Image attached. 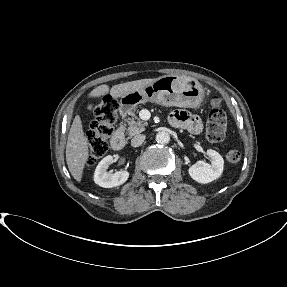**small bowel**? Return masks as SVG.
<instances>
[{"label":"small bowel","mask_w":287,"mask_h":287,"mask_svg":"<svg viewBox=\"0 0 287 287\" xmlns=\"http://www.w3.org/2000/svg\"><path fill=\"white\" fill-rule=\"evenodd\" d=\"M170 123L177 128L188 130L191 133H199L202 129L200 118L190 112L177 110L170 115Z\"/></svg>","instance_id":"1"}]
</instances>
